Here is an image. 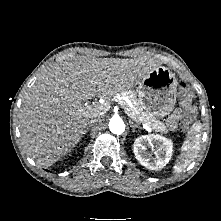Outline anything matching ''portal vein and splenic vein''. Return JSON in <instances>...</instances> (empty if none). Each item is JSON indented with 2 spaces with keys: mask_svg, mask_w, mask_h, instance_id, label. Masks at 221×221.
Returning a JSON list of instances; mask_svg holds the SVG:
<instances>
[{
  "mask_svg": "<svg viewBox=\"0 0 221 221\" xmlns=\"http://www.w3.org/2000/svg\"><path fill=\"white\" fill-rule=\"evenodd\" d=\"M129 107H132V103L130 101L127 102ZM119 104L124 107V104L122 102L119 101ZM109 109L108 104L104 103V104H99V105H87L85 104V108H84V112L90 111L91 113L95 114V115H103L107 110ZM143 124V126L148 129L151 130V128L143 122H140Z\"/></svg>",
  "mask_w": 221,
  "mask_h": 221,
  "instance_id": "18ae733b",
  "label": "portal vein and splenic vein"
}]
</instances>
